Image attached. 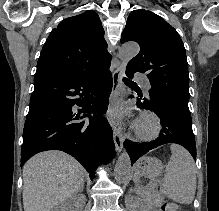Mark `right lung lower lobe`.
Here are the masks:
<instances>
[{
    "label": "right lung lower lobe",
    "mask_w": 219,
    "mask_h": 211,
    "mask_svg": "<svg viewBox=\"0 0 219 211\" xmlns=\"http://www.w3.org/2000/svg\"><path fill=\"white\" fill-rule=\"evenodd\" d=\"M109 67L89 74L34 77L21 166L41 151L62 150L75 157L93 179L97 166L113 159L112 129L98 115L106 112L112 90Z\"/></svg>",
    "instance_id": "obj_1"
}]
</instances>
